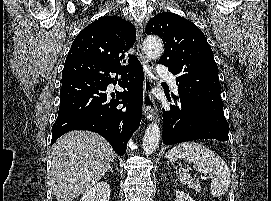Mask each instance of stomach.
Returning <instances> with one entry per match:
<instances>
[{
  "mask_svg": "<svg viewBox=\"0 0 271 201\" xmlns=\"http://www.w3.org/2000/svg\"><path fill=\"white\" fill-rule=\"evenodd\" d=\"M170 156H171V151H169V152L167 153V158L169 159Z\"/></svg>",
  "mask_w": 271,
  "mask_h": 201,
  "instance_id": "1",
  "label": "stomach"
}]
</instances>
